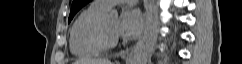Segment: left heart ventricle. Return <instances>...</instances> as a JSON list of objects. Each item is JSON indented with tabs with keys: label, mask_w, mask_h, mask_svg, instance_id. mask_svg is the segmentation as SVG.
Wrapping results in <instances>:
<instances>
[{
	"label": "left heart ventricle",
	"mask_w": 242,
	"mask_h": 64,
	"mask_svg": "<svg viewBox=\"0 0 242 64\" xmlns=\"http://www.w3.org/2000/svg\"><path fill=\"white\" fill-rule=\"evenodd\" d=\"M104 24H105L106 32L109 35H114L117 27V21L106 17L104 20Z\"/></svg>",
	"instance_id": "left-heart-ventricle-1"
}]
</instances>
